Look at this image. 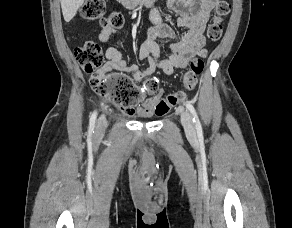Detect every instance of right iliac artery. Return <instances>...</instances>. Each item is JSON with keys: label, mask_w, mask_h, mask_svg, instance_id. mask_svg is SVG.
<instances>
[{"label": "right iliac artery", "mask_w": 292, "mask_h": 228, "mask_svg": "<svg viewBox=\"0 0 292 228\" xmlns=\"http://www.w3.org/2000/svg\"><path fill=\"white\" fill-rule=\"evenodd\" d=\"M96 116H97V111H94L92 115L90 116L89 131H88L90 135L94 132Z\"/></svg>", "instance_id": "right-iliac-artery-1"}]
</instances>
